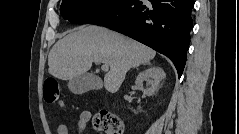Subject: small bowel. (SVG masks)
<instances>
[{"mask_svg": "<svg viewBox=\"0 0 239 134\" xmlns=\"http://www.w3.org/2000/svg\"><path fill=\"white\" fill-rule=\"evenodd\" d=\"M92 113L89 110H84L80 113L78 121H77V132L78 134H84L87 124L91 120ZM57 134H70V130L65 124H58L57 126Z\"/></svg>", "mask_w": 239, "mask_h": 134, "instance_id": "c3829d8e", "label": "small bowel"}]
</instances>
